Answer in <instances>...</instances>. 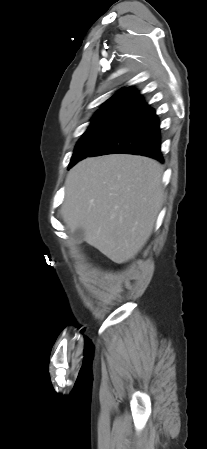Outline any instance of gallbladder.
I'll return each mask as SVG.
<instances>
[{
    "label": "gallbladder",
    "instance_id": "1",
    "mask_svg": "<svg viewBox=\"0 0 207 449\" xmlns=\"http://www.w3.org/2000/svg\"><path fill=\"white\" fill-rule=\"evenodd\" d=\"M73 238L77 242H82L84 240V238H85L84 230L82 228H77L76 230H74Z\"/></svg>",
    "mask_w": 207,
    "mask_h": 449
}]
</instances>
